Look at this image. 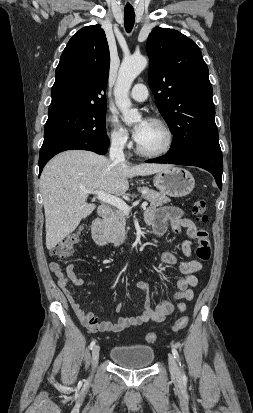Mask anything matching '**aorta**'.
<instances>
[{
	"label": "aorta",
	"mask_w": 253,
	"mask_h": 413,
	"mask_svg": "<svg viewBox=\"0 0 253 413\" xmlns=\"http://www.w3.org/2000/svg\"><path fill=\"white\" fill-rule=\"evenodd\" d=\"M146 66L147 59L144 56L134 55L122 61L118 72V78L114 88L115 102L122 113L124 123L127 125L137 123L141 120V114L138 110L131 107L129 90L135 78Z\"/></svg>",
	"instance_id": "762f6f07"
}]
</instances>
